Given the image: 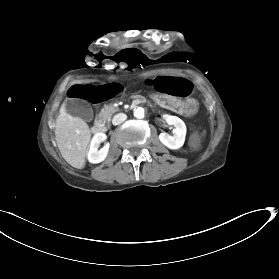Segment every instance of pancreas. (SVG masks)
<instances>
[{
	"instance_id": "obj_1",
	"label": "pancreas",
	"mask_w": 279,
	"mask_h": 279,
	"mask_svg": "<svg viewBox=\"0 0 279 279\" xmlns=\"http://www.w3.org/2000/svg\"><path fill=\"white\" fill-rule=\"evenodd\" d=\"M131 100L133 102H139L144 106H147L149 104V101L145 98H143L142 96L133 94L131 96ZM119 108L115 107L113 104H108V105H104V107L101 109V112L99 113V117L103 120V121H108L111 119V116L118 112Z\"/></svg>"
}]
</instances>
